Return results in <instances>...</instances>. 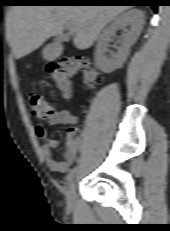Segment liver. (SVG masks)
<instances>
[{
	"label": "liver",
	"mask_w": 170,
	"mask_h": 231,
	"mask_svg": "<svg viewBox=\"0 0 170 231\" xmlns=\"http://www.w3.org/2000/svg\"><path fill=\"white\" fill-rule=\"evenodd\" d=\"M126 5L52 6L21 5L10 8L7 16V38L16 59H20L50 37H60L65 27L75 31L73 43L77 49L92 46L103 27Z\"/></svg>",
	"instance_id": "obj_1"
}]
</instances>
